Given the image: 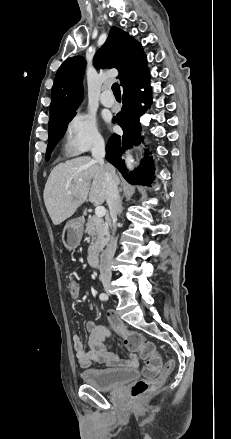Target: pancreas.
I'll return each mask as SVG.
<instances>
[{"label": "pancreas", "instance_id": "pancreas-1", "mask_svg": "<svg viewBox=\"0 0 231 439\" xmlns=\"http://www.w3.org/2000/svg\"><path fill=\"white\" fill-rule=\"evenodd\" d=\"M85 232L92 239L88 249L89 254L100 252L109 240L108 224L97 216H90L87 219Z\"/></svg>", "mask_w": 231, "mask_h": 439}]
</instances>
